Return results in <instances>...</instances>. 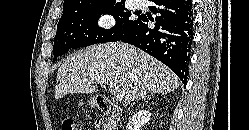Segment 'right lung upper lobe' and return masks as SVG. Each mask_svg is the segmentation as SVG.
<instances>
[{
    "label": "right lung upper lobe",
    "mask_w": 249,
    "mask_h": 130,
    "mask_svg": "<svg viewBox=\"0 0 249 130\" xmlns=\"http://www.w3.org/2000/svg\"><path fill=\"white\" fill-rule=\"evenodd\" d=\"M112 1L116 0H64L63 11H77L93 4Z\"/></svg>",
    "instance_id": "1"
}]
</instances>
